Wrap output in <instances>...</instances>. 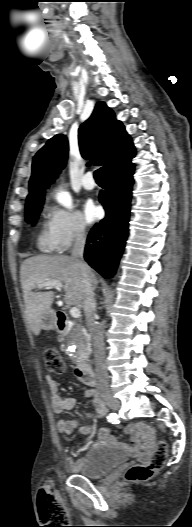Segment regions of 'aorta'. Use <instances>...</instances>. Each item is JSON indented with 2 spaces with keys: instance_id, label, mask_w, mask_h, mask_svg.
I'll return each mask as SVG.
<instances>
[{
  "instance_id": "obj_1",
  "label": "aorta",
  "mask_w": 192,
  "mask_h": 527,
  "mask_svg": "<svg viewBox=\"0 0 192 527\" xmlns=\"http://www.w3.org/2000/svg\"><path fill=\"white\" fill-rule=\"evenodd\" d=\"M58 202L64 207L71 209L72 208V198L68 192L61 191L57 194Z\"/></svg>"
}]
</instances>
